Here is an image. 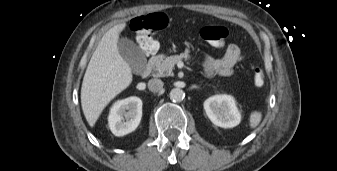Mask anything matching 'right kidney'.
I'll return each instance as SVG.
<instances>
[{
    "label": "right kidney",
    "instance_id": "obj_1",
    "mask_svg": "<svg viewBox=\"0 0 337 171\" xmlns=\"http://www.w3.org/2000/svg\"><path fill=\"white\" fill-rule=\"evenodd\" d=\"M142 117V100L131 96L115 102L108 117L109 127L115 136H124L134 131Z\"/></svg>",
    "mask_w": 337,
    "mask_h": 171
}]
</instances>
